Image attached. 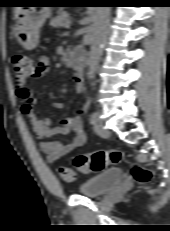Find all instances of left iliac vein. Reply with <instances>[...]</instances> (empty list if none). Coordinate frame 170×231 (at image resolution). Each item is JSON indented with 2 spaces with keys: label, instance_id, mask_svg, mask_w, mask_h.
<instances>
[{
  "label": "left iliac vein",
  "instance_id": "4c4485c4",
  "mask_svg": "<svg viewBox=\"0 0 170 231\" xmlns=\"http://www.w3.org/2000/svg\"><path fill=\"white\" fill-rule=\"evenodd\" d=\"M94 130H95L96 134L99 135L100 137L107 138L110 135L109 130L106 127H104L102 124H99V123L95 124Z\"/></svg>",
  "mask_w": 170,
  "mask_h": 231
}]
</instances>
